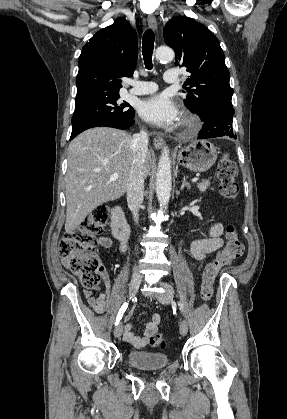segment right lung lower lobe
<instances>
[{"label":"right lung lower lobe","mask_w":287,"mask_h":419,"mask_svg":"<svg viewBox=\"0 0 287 419\" xmlns=\"http://www.w3.org/2000/svg\"><path fill=\"white\" fill-rule=\"evenodd\" d=\"M134 116L128 120H114V119H97L83 124L78 129L72 131L70 140L76 137L79 133L93 127H113L117 129H128L134 123Z\"/></svg>","instance_id":"1"}]
</instances>
